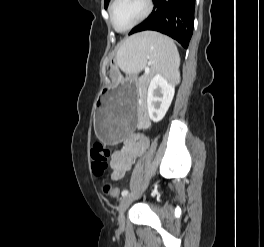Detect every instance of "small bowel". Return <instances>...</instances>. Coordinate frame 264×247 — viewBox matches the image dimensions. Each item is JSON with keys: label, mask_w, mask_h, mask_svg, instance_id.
Segmentation results:
<instances>
[{"label": "small bowel", "mask_w": 264, "mask_h": 247, "mask_svg": "<svg viewBox=\"0 0 264 247\" xmlns=\"http://www.w3.org/2000/svg\"><path fill=\"white\" fill-rule=\"evenodd\" d=\"M149 125V118L145 114H141L138 121L139 130L130 133L120 148L113 153L110 161L112 179L121 180L147 148L148 139L142 130Z\"/></svg>", "instance_id": "small-bowel-1"}]
</instances>
